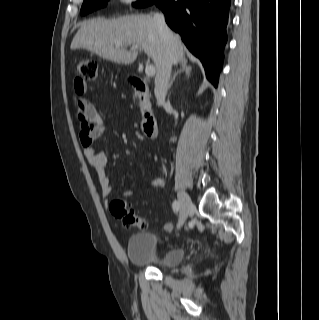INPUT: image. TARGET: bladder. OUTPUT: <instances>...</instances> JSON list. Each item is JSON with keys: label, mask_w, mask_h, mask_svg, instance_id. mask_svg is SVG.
<instances>
[{"label": "bladder", "mask_w": 319, "mask_h": 320, "mask_svg": "<svg viewBox=\"0 0 319 320\" xmlns=\"http://www.w3.org/2000/svg\"><path fill=\"white\" fill-rule=\"evenodd\" d=\"M157 236L150 232L131 234L128 238L126 253L128 259L139 265L167 269L178 265L184 258L181 247L158 249Z\"/></svg>", "instance_id": "1"}]
</instances>
